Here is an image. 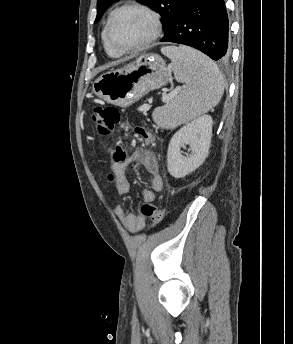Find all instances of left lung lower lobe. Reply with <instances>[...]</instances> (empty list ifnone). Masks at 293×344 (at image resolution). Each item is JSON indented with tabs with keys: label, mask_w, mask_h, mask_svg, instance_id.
Masks as SVG:
<instances>
[{
	"label": "left lung lower lobe",
	"mask_w": 293,
	"mask_h": 344,
	"mask_svg": "<svg viewBox=\"0 0 293 344\" xmlns=\"http://www.w3.org/2000/svg\"><path fill=\"white\" fill-rule=\"evenodd\" d=\"M161 42L194 47L213 60L227 61L228 16L224 0H184Z\"/></svg>",
	"instance_id": "obj_1"
}]
</instances>
